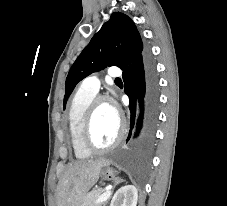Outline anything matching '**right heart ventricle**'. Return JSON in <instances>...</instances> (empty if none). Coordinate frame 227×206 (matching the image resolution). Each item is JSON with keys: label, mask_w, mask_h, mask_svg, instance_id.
<instances>
[{"label": "right heart ventricle", "mask_w": 227, "mask_h": 206, "mask_svg": "<svg viewBox=\"0 0 227 206\" xmlns=\"http://www.w3.org/2000/svg\"><path fill=\"white\" fill-rule=\"evenodd\" d=\"M96 94L79 89L73 96L66 116L70 143L77 159H86L91 155L81 142V124L84 113Z\"/></svg>", "instance_id": "right-heart-ventricle-1"}]
</instances>
